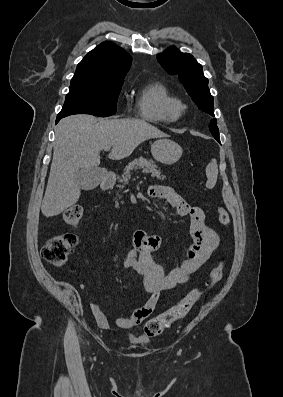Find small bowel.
<instances>
[{
  "instance_id": "small-bowel-1",
  "label": "small bowel",
  "mask_w": 283,
  "mask_h": 397,
  "mask_svg": "<svg viewBox=\"0 0 283 397\" xmlns=\"http://www.w3.org/2000/svg\"><path fill=\"white\" fill-rule=\"evenodd\" d=\"M148 194L152 198L165 200L179 216L189 218L192 242L180 264L166 270L162 263L154 259V254L161 249L162 239L143 230L133 233L134 248L126 254L123 266L140 276L148 298L131 315L114 320L115 325L122 329H132L147 319L155 310L161 292L188 282L210 259L220 242L216 231L207 224L204 211L200 207L191 206L174 189L154 185L149 188ZM90 309L97 325L103 330H110V322L101 307L92 303Z\"/></svg>"
}]
</instances>
